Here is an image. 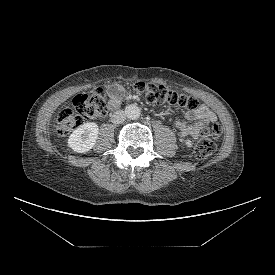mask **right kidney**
Listing matches in <instances>:
<instances>
[{"label":"right kidney","instance_id":"ca27d5eb","mask_svg":"<svg viewBox=\"0 0 275 275\" xmlns=\"http://www.w3.org/2000/svg\"><path fill=\"white\" fill-rule=\"evenodd\" d=\"M98 132V125L94 122L80 125L69 136L67 145L77 153H86L94 147Z\"/></svg>","mask_w":275,"mask_h":275}]
</instances>
